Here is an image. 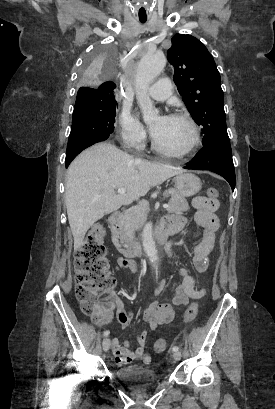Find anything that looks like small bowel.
Returning a JSON list of instances; mask_svg holds the SVG:
<instances>
[{
    "label": "small bowel",
    "mask_w": 275,
    "mask_h": 409,
    "mask_svg": "<svg viewBox=\"0 0 275 409\" xmlns=\"http://www.w3.org/2000/svg\"><path fill=\"white\" fill-rule=\"evenodd\" d=\"M193 207L196 209L195 220L203 227V235L201 240L194 247L193 262L195 268L198 272L203 273L207 271L210 263V254L214 247L215 233L219 227V221L217 217V212L219 210L218 201L210 200L204 196H197L192 201ZM166 220H180L181 227L180 230L186 223L185 217H171ZM177 230V231H178ZM172 256V253L169 252ZM119 268H132L137 271V266L135 264H129L127 262H119ZM118 272V271H117ZM179 275L182 278L181 283L173 287L174 297L173 305L161 304L157 302L150 303L143 312V319L147 323L149 329L155 330L159 325L169 323L172 321L175 315L176 307L186 305L191 298H200L205 294V290H197L195 286V278L186 268H179ZM169 284L165 281L160 282L155 288V293L160 294L163 292ZM118 314L116 318L119 320L122 328H129L133 318L131 313L125 314V303L119 301L117 303ZM147 332L142 331L137 334L136 342L138 348L135 353L131 352L130 347H123L121 344L124 342L122 339L118 341L113 340V350L115 360L118 364L123 365L130 363L135 358L143 360L144 366L152 365V358L148 351H144V345L146 340ZM126 346L132 345L131 339L125 340Z\"/></svg>",
    "instance_id": "small-bowel-1"
}]
</instances>
